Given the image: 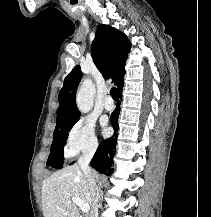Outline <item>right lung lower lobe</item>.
I'll return each instance as SVG.
<instances>
[{"instance_id": "98d812e1", "label": "right lung lower lobe", "mask_w": 211, "mask_h": 217, "mask_svg": "<svg viewBox=\"0 0 211 217\" xmlns=\"http://www.w3.org/2000/svg\"><path fill=\"white\" fill-rule=\"evenodd\" d=\"M122 93V88L119 89V94L121 96ZM120 113L119 109H116L112 114H111V123L116 131L117 128V119L118 115ZM115 145H116V137L113 135L111 138L102 141L101 144L99 145L90 165L94 169H96L98 172L105 174V175H110L113 172L112 164H113V156L115 152Z\"/></svg>"}]
</instances>
